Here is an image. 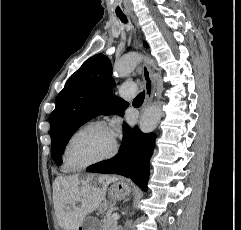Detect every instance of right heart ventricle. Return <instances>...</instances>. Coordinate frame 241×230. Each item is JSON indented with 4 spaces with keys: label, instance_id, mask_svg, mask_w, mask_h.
<instances>
[{
    "label": "right heart ventricle",
    "instance_id": "right-heart-ventricle-1",
    "mask_svg": "<svg viewBox=\"0 0 241 230\" xmlns=\"http://www.w3.org/2000/svg\"><path fill=\"white\" fill-rule=\"evenodd\" d=\"M63 168L65 169V171H69L70 170L65 162H64Z\"/></svg>",
    "mask_w": 241,
    "mask_h": 230
}]
</instances>
